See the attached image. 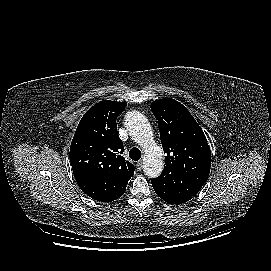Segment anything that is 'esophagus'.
I'll return each instance as SVG.
<instances>
[{
    "instance_id": "1",
    "label": "esophagus",
    "mask_w": 271,
    "mask_h": 271,
    "mask_svg": "<svg viewBox=\"0 0 271 271\" xmlns=\"http://www.w3.org/2000/svg\"><path fill=\"white\" fill-rule=\"evenodd\" d=\"M142 165H143V163H142L141 160L137 162V169H138L139 171L142 169Z\"/></svg>"
}]
</instances>
